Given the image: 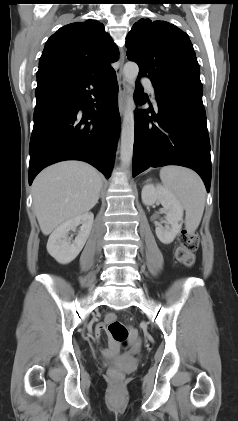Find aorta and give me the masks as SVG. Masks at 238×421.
Returning a JSON list of instances; mask_svg holds the SVG:
<instances>
[{
    "instance_id": "1",
    "label": "aorta",
    "mask_w": 238,
    "mask_h": 421,
    "mask_svg": "<svg viewBox=\"0 0 238 421\" xmlns=\"http://www.w3.org/2000/svg\"><path fill=\"white\" fill-rule=\"evenodd\" d=\"M139 73V67L135 62H127L123 68L124 78L127 82L128 89L131 95L128 97L127 106L124 112L122 132H121V152L120 159L124 167H129L134 144V101L132 92L134 89V83Z\"/></svg>"
}]
</instances>
